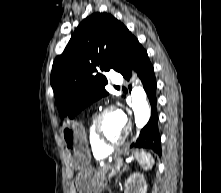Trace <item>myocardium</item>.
I'll use <instances>...</instances> for the list:
<instances>
[{
    "label": "myocardium",
    "mask_w": 221,
    "mask_h": 193,
    "mask_svg": "<svg viewBox=\"0 0 221 193\" xmlns=\"http://www.w3.org/2000/svg\"><path fill=\"white\" fill-rule=\"evenodd\" d=\"M116 109L113 106H107L104 109H102L98 115L94 119L93 123V133L97 141L105 148L112 149L114 147L122 145L125 140L127 139L129 132H130V125L126 124V129L124 134L117 139L116 141H110L108 140L101 131V122L103 117L108 114L111 111H115Z\"/></svg>",
    "instance_id": "obj_1"
}]
</instances>
